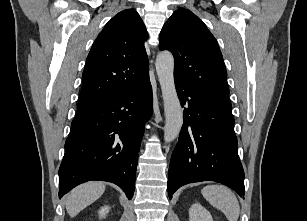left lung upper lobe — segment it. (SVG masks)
<instances>
[{"label":"left lung upper lobe","instance_id":"left-lung-upper-lobe-1","mask_svg":"<svg viewBox=\"0 0 307 221\" xmlns=\"http://www.w3.org/2000/svg\"><path fill=\"white\" fill-rule=\"evenodd\" d=\"M160 50L174 56V77L192 91L230 111L227 71L218 43L206 25L185 8L176 10L160 33Z\"/></svg>","mask_w":307,"mask_h":221}]
</instances>
